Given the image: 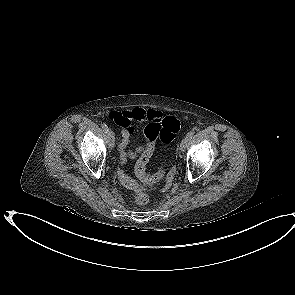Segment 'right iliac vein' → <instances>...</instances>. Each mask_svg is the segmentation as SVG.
<instances>
[{"mask_svg":"<svg viewBox=\"0 0 295 295\" xmlns=\"http://www.w3.org/2000/svg\"><path fill=\"white\" fill-rule=\"evenodd\" d=\"M108 140H109L110 146L114 147L115 136L111 130L108 131Z\"/></svg>","mask_w":295,"mask_h":295,"instance_id":"obj_1","label":"right iliac vein"}]
</instances>
